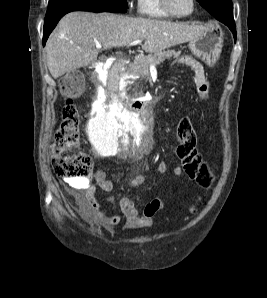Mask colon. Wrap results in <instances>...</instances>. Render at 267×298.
Segmentation results:
<instances>
[{"label":"colon","instance_id":"5ec220e1","mask_svg":"<svg viewBox=\"0 0 267 298\" xmlns=\"http://www.w3.org/2000/svg\"><path fill=\"white\" fill-rule=\"evenodd\" d=\"M60 90L65 104L52 145V167L61 178L82 181L91 173L90 158L85 155L73 156L67 152L68 146L78 138L79 134V115L73 100L83 90L82 75L72 72L63 76L60 80ZM175 135L178 141L177 154L186 174L201 186H210L214 174L198 149L197 134L188 117H181L178 120ZM190 211L195 212L196 207H191Z\"/></svg>","mask_w":267,"mask_h":298}]
</instances>
